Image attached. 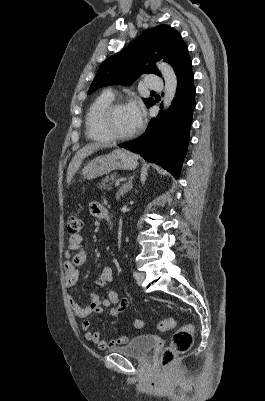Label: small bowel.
Instances as JSON below:
<instances>
[{"mask_svg":"<svg viewBox=\"0 0 265 401\" xmlns=\"http://www.w3.org/2000/svg\"><path fill=\"white\" fill-rule=\"evenodd\" d=\"M89 210L92 216L99 219L104 218L107 212L98 201H92ZM64 255L66 257L63 265L65 285L71 288L78 282L79 268L87 259V252L83 247V237L81 235L76 234L69 237L67 250ZM112 279V268L108 266L104 267L96 279V284L104 290L105 297H101L97 293H92L90 300L85 305H79L71 296H68V303L78 318L84 319L92 314H101L106 308H110L111 316L116 319L126 310L128 307L127 299H120L116 291L108 288V284L111 283ZM114 323L115 321L111 322V324ZM81 329L86 340L93 342L101 350L112 349L117 345L128 342L126 336H119L109 341L101 339L99 331L93 330L88 320L81 322Z\"/></svg>","mask_w":265,"mask_h":401,"instance_id":"obj_1","label":"small bowel"}]
</instances>
